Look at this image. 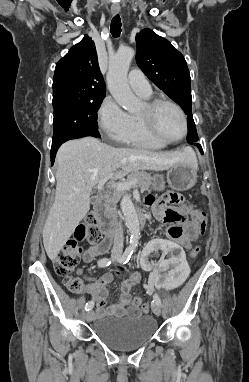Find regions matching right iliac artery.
<instances>
[{
  "label": "right iliac artery",
  "instance_id": "1",
  "mask_svg": "<svg viewBox=\"0 0 249 382\" xmlns=\"http://www.w3.org/2000/svg\"><path fill=\"white\" fill-rule=\"evenodd\" d=\"M133 251H130V250H125V252L123 253V255L119 258L118 262L121 263V264H126L131 255H132ZM111 264V260L108 259V258H103V259H100L98 261V265L99 267H107ZM94 307V302L93 301H88L85 305V310L86 311H89L91 310L92 308Z\"/></svg>",
  "mask_w": 249,
  "mask_h": 382
}]
</instances>
